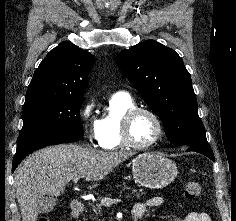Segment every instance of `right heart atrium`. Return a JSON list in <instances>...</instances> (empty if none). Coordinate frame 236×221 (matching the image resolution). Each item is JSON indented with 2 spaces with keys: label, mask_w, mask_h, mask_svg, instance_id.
Returning <instances> with one entry per match:
<instances>
[{
  "label": "right heart atrium",
  "mask_w": 236,
  "mask_h": 221,
  "mask_svg": "<svg viewBox=\"0 0 236 221\" xmlns=\"http://www.w3.org/2000/svg\"><path fill=\"white\" fill-rule=\"evenodd\" d=\"M94 107L92 100L87 101L80 111V120L87 140L93 146H97L100 145V129Z\"/></svg>",
  "instance_id": "right-heart-atrium-1"
}]
</instances>
